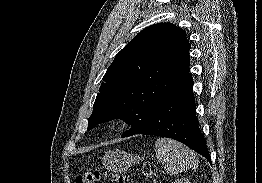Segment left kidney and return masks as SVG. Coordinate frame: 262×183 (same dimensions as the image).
I'll list each match as a JSON object with an SVG mask.
<instances>
[{"label": "left kidney", "mask_w": 262, "mask_h": 183, "mask_svg": "<svg viewBox=\"0 0 262 183\" xmlns=\"http://www.w3.org/2000/svg\"><path fill=\"white\" fill-rule=\"evenodd\" d=\"M172 183H190L188 178H182L180 180H176L175 182Z\"/></svg>", "instance_id": "1"}]
</instances>
